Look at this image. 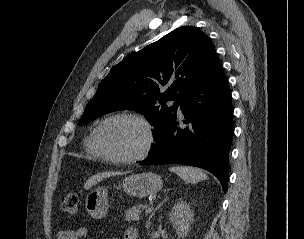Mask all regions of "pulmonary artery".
<instances>
[{
	"label": "pulmonary artery",
	"instance_id": "pulmonary-artery-1",
	"mask_svg": "<svg viewBox=\"0 0 304 239\" xmlns=\"http://www.w3.org/2000/svg\"><path fill=\"white\" fill-rule=\"evenodd\" d=\"M178 111H179V112H181V108H180V106L178 107Z\"/></svg>",
	"mask_w": 304,
	"mask_h": 239
}]
</instances>
